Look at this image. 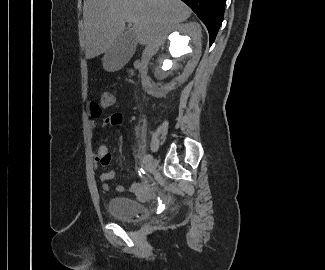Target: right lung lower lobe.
Here are the masks:
<instances>
[{
    "mask_svg": "<svg viewBox=\"0 0 325 270\" xmlns=\"http://www.w3.org/2000/svg\"><path fill=\"white\" fill-rule=\"evenodd\" d=\"M185 2L206 25L210 45L214 42L224 17L226 0H182Z\"/></svg>",
    "mask_w": 325,
    "mask_h": 270,
    "instance_id": "98d812e1",
    "label": "right lung lower lobe"
}]
</instances>
